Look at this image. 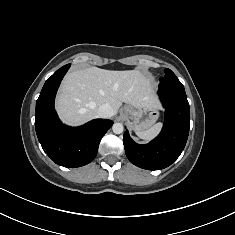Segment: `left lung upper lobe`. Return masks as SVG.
I'll list each match as a JSON object with an SVG mask.
<instances>
[{"label": "left lung upper lobe", "mask_w": 235, "mask_h": 235, "mask_svg": "<svg viewBox=\"0 0 235 235\" xmlns=\"http://www.w3.org/2000/svg\"><path fill=\"white\" fill-rule=\"evenodd\" d=\"M165 76L162 77L164 79H170V80H178V78L176 77V75L170 70V69H165Z\"/></svg>", "instance_id": "1"}]
</instances>
